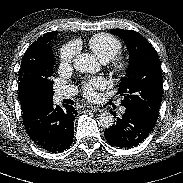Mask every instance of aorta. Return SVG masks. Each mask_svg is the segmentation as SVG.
I'll return each mask as SVG.
<instances>
[{
  "label": "aorta",
  "mask_w": 183,
  "mask_h": 183,
  "mask_svg": "<svg viewBox=\"0 0 183 183\" xmlns=\"http://www.w3.org/2000/svg\"><path fill=\"white\" fill-rule=\"evenodd\" d=\"M74 68L81 73H95L99 71V63L92 54L82 53L74 59ZM114 117L110 112H103L98 116V124L103 128H110Z\"/></svg>",
  "instance_id": "1"
}]
</instances>
